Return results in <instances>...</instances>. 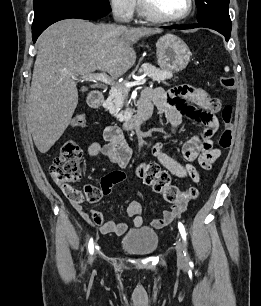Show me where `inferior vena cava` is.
<instances>
[{"instance_id": "1", "label": "inferior vena cava", "mask_w": 261, "mask_h": 306, "mask_svg": "<svg viewBox=\"0 0 261 306\" xmlns=\"http://www.w3.org/2000/svg\"><path fill=\"white\" fill-rule=\"evenodd\" d=\"M119 28L123 29L124 27H123V26H120Z\"/></svg>"}]
</instances>
